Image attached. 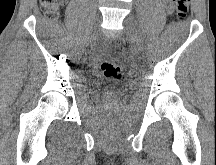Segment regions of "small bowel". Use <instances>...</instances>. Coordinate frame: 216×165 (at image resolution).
<instances>
[{"label": "small bowel", "mask_w": 216, "mask_h": 165, "mask_svg": "<svg viewBox=\"0 0 216 165\" xmlns=\"http://www.w3.org/2000/svg\"><path fill=\"white\" fill-rule=\"evenodd\" d=\"M167 6L170 7V2H169V0H167Z\"/></svg>", "instance_id": "small-bowel-1"}]
</instances>
